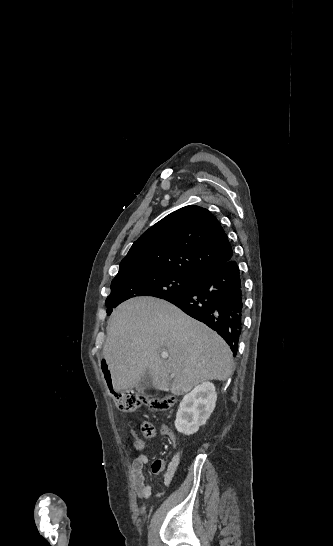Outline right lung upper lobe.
<instances>
[{
    "instance_id": "right-lung-upper-lobe-1",
    "label": "right lung upper lobe",
    "mask_w": 333,
    "mask_h": 546,
    "mask_svg": "<svg viewBox=\"0 0 333 546\" xmlns=\"http://www.w3.org/2000/svg\"><path fill=\"white\" fill-rule=\"evenodd\" d=\"M233 258L220 222L207 209L186 206L167 215L135 241L119 270L174 272L200 277Z\"/></svg>"
}]
</instances>
